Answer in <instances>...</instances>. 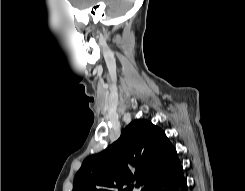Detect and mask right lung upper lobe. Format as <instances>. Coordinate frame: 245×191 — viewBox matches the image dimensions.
Here are the masks:
<instances>
[{
  "label": "right lung upper lobe",
  "mask_w": 245,
  "mask_h": 191,
  "mask_svg": "<svg viewBox=\"0 0 245 191\" xmlns=\"http://www.w3.org/2000/svg\"><path fill=\"white\" fill-rule=\"evenodd\" d=\"M180 161L165 133L147 120L132 121L104 151L87 157L72 191H129L132 183L149 191Z\"/></svg>",
  "instance_id": "cb5924a9"
}]
</instances>
